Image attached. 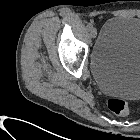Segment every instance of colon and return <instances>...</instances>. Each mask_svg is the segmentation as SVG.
Listing matches in <instances>:
<instances>
[{
    "label": "colon",
    "mask_w": 140,
    "mask_h": 140,
    "mask_svg": "<svg viewBox=\"0 0 140 140\" xmlns=\"http://www.w3.org/2000/svg\"><path fill=\"white\" fill-rule=\"evenodd\" d=\"M108 108L117 115H128L130 113L129 104L117 97H112L108 100Z\"/></svg>",
    "instance_id": "1"
}]
</instances>
